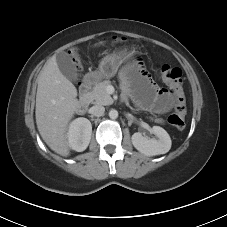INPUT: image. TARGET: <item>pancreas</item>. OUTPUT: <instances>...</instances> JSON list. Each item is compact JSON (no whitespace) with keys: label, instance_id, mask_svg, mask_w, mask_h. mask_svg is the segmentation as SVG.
<instances>
[{"label":"pancreas","instance_id":"1","mask_svg":"<svg viewBox=\"0 0 227 227\" xmlns=\"http://www.w3.org/2000/svg\"><path fill=\"white\" fill-rule=\"evenodd\" d=\"M111 82L109 80H105L103 82H100L96 84L92 91L89 92V99L94 104H100V105H111L113 104L112 97L107 93L106 87ZM159 123H162L163 121L161 119L156 120Z\"/></svg>","mask_w":227,"mask_h":227}]
</instances>
